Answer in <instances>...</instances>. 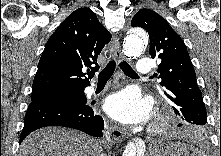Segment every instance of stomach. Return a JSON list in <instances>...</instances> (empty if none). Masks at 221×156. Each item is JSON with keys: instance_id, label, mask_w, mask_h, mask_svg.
<instances>
[{"instance_id": "0dacf381", "label": "stomach", "mask_w": 221, "mask_h": 156, "mask_svg": "<svg viewBox=\"0 0 221 156\" xmlns=\"http://www.w3.org/2000/svg\"><path fill=\"white\" fill-rule=\"evenodd\" d=\"M150 156H192L186 148L172 141H162L150 152Z\"/></svg>"}]
</instances>
